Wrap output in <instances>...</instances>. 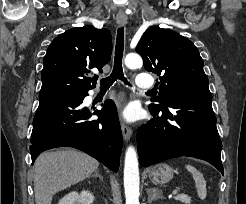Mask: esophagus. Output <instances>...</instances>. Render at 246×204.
Masks as SVG:
<instances>
[{
    "label": "esophagus",
    "mask_w": 246,
    "mask_h": 204,
    "mask_svg": "<svg viewBox=\"0 0 246 204\" xmlns=\"http://www.w3.org/2000/svg\"><path fill=\"white\" fill-rule=\"evenodd\" d=\"M116 21L119 26H124L127 23V16L123 14H119L117 15ZM121 131L124 140L125 141L130 140V138L132 137V129L123 120L121 121Z\"/></svg>",
    "instance_id": "1"
}]
</instances>
